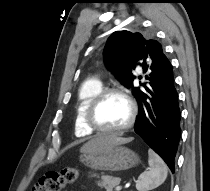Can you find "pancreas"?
I'll return each mask as SVG.
<instances>
[{
    "label": "pancreas",
    "instance_id": "cf45deb5",
    "mask_svg": "<svg viewBox=\"0 0 210 191\" xmlns=\"http://www.w3.org/2000/svg\"><path fill=\"white\" fill-rule=\"evenodd\" d=\"M102 180L98 182V186L105 188L106 191H113V189L120 183V178L112 176H102Z\"/></svg>",
    "mask_w": 210,
    "mask_h": 191
}]
</instances>
